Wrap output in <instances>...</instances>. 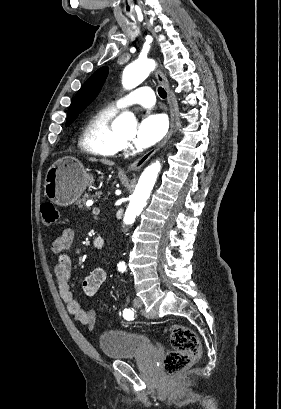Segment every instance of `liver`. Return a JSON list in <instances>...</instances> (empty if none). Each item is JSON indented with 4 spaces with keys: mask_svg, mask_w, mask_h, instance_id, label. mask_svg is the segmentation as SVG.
Here are the masks:
<instances>
[{
    "mask_svg": "<svg viewBox=\"0 0 281 409\" xmlns=\"http://www.w3.org/2000/svg\"><path fill=\"white\" fill-rule=\"evenodd\" d=\"M88 160H92V162H95V160H101L103 164H110V166L114 164L113 160H108V158H95V156H89Z\"/></svg>",
    "mask_w": 281,
    "mask_h": 409,
    "instance_id": "1",
    "label": "liver"
}]
</instances>
